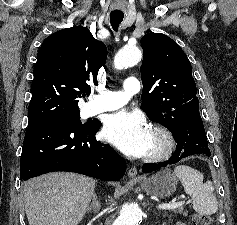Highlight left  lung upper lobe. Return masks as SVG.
I'll use <instances>...</instances> for the list:
<instances>
[{"label":"left lung upper lobe","instance_id":"5c2ea615","mask_svg":"<svg viewBox=\"0 0 237 225\" xmlns=\"http://www.w3.org/2000/svg\"><path fill=\"white\" fill-rule=\"evenodd\" d=\"M141 46L144 50L141 107L149 119L172 132L199 112L190 61L176 42L161 33L146 34Z\"/></svg>","mask_w":237,"mask_h":225}]
</instances>
